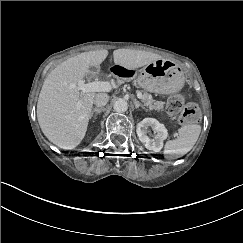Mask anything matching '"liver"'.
I'll use <instances>...</instances> for the list:
<instances>
[{"mask_svg": "<svg viewBox=\"0 0 243 243\" xmlns=\"http://www.w3.org/2000/svg\"><path fill=\"white\" fill-rule=\"evenodd\" d=\"M108 56V51L83 52L69 58L54 68L45 79L37 103V119L44 135L62 149H74L85 136L94 92L82 93L78 82L89 73V67L99 66ZM114 63L127 69H136L161 59L158 54L117 49L113 52ZM124 83L119 79L118 84ZM81 101L80 108H77Z\"/></svg>", "mask_w": 243, "mask_h": 243, "instance_id": "obj_1", "label": "liver"}]
</instances>
